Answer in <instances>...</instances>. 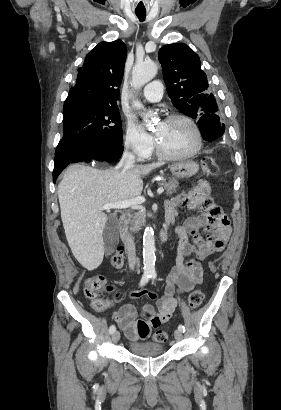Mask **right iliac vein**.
Here are the masks:
<instances>
[{
	"instance_id": "1",
	"label": "right iliac vein",
	"mask_w": 281,
	"mask_h": 410,
	"mask_svg": "<svg viewBox=\"0 0 281 410\" xmlns=\"http://www.w3.org/2000/svg\"><path fill=\"white\" fill-rule=\"evenodd\" d=\"M120 339V333L118 331L114 332L112 335V341L113 343H117Z\"/></svg>"
}]
</instances>
